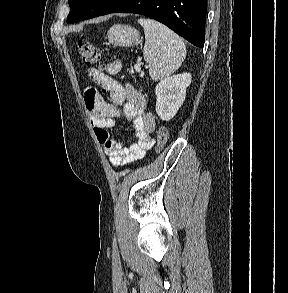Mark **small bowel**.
<instances>
[{"mask_svg": "<svg viewBox=\"0 0 288 293\" xmlns=\"http://www.w3.org/2000/svg\"><path fill=\"white\" fill-rule=\"evenodd\" d=\"M118 69V63L109 66L110 74L116 73ZM89 75L109 93L112 101L106 102L92 87L84 93L87 115L110 163L113 166H122L141 158L154 144L151 134L156 127L153 114L147 110L144 94L132 84L121 83L95 69H92ZM120 115L132 122L135 129L137 140L129 147L112 138L108 131L115 125V118Z\"/></svg>", "mask_w": 288, "mask_h": 293, "instance_id": "1", "label": "small bowel"}]
</instances>
